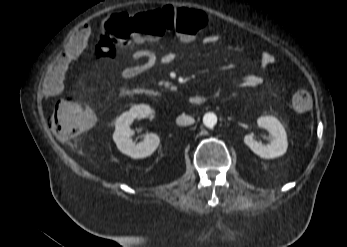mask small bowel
Returning a JSON list of instances; mask_svg holds the SVG:
<instances>
[{
	"mask_svg": "<svg viewBox=\"0 0 347 247\" xmlns=\"http://www.w3.org/2000/svg\"><path fill=\"white\" fill-rule=\"evenodd\" d=\"M90 36L89 25H83L76 30L68 41V47L63 54L55 59L47 67L45 72V83L47 85V92L50 94H56L60 91V77L66 70L73 56L80 52L87 44ZM205 44H216L219 41L217 34H209L203 39ZM131 57L138 62L132 65L122 67L119 70V76L122 79H133L143 74L156 63L170 64L176 60V54L174 52H166L160 56H157L154 52L148 49H138L131 53ZM259 62L261 69L264 72L269 71L275 63V57L267 52H261L259 56ZM243 84L248 87H257L263 83V77L257 73H251L244 77Z\"/></svg>",
	"mask_w": 347,
	"mask_h": 247,
	"instance_id": "1",
	"label": "small bowel"
}]
</instances>
